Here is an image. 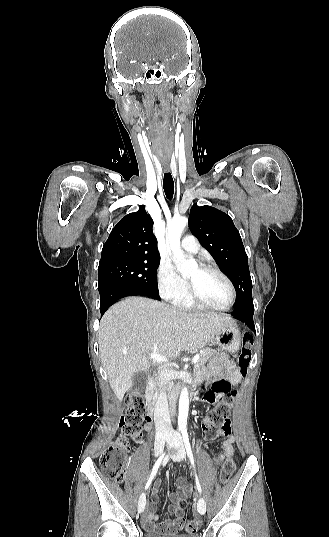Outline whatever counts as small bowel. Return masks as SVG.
<instances>
[{
    "label": "small bowel",
    "mask_w": 329,
    "mask_h": 537,
    "mask_svg": "<svg viewBox=\"0 0 329 537\" xmlns=\"http://www.w3.org/2000/svg\"><path fill=\"white\" fill-rule=\"evenodd\" d=\"M204 376L206 377L204 384L206 387H208V389H202L201 395L203 396L202 402L205 405L213 404L214 400L220 399L222 396H231L233 393L231 388L232 384L240 382L242 378V374L236 367L235 363L224 354L219 355L210 362ZM214 379L218 380L214 381ZM146 428L148 431H150L151 425L148 424ZM204 439L207 441L218 439L219 442L222 443L223 452L218 454L213 459L214 463H221L224 460H228L233 457L235 438L231 431L230 421H228L223 430H215L204 427ZM176 486L178 492L171 493L169 496L171 501L169 509L170 512L175 516V520L158 522L159 517L156 514V508L162 482L160 480L155 482L152 489V499L147 503L146 511L142 518V523L145 530L156 533H175L183 529L184 509L181 503L185 502L190 497L192 488L184 478H178L176 481Z\"/></svg>",
    "instance_id": "c3829d8e"
}]
</instances>
